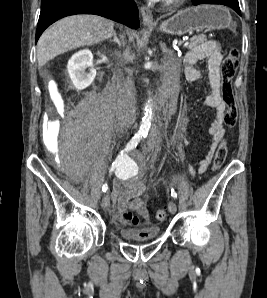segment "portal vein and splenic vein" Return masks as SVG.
Returning <instances> with one entry per match:
<instances>
[{"mask_svg":"<svg viewBox=\"0 0 267 298\" xmlns=\"http://www.w3.org/2000/svg\"><path fill=\"white\" fill-rule=\"evenodd\" d=\"M189 45V42H185L184 44H183V47H187Z\"/></svg>","mask_w":267,"mask_h":298,"instance_id":"obj_1","label":"portal vein and splenic vein"}]
</instances>
